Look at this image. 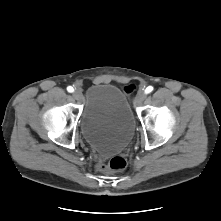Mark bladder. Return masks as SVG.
<instances>
[{
  "instance_id": "obj_1",
  "label": "bladder",
  "mask_w": 221,
  "mask_h": 221,
  "mask_svg": "<svg viewBox=\"0 0 221 221\" xmlns=\"http://www.w3.org/2000/svg\"><path fill=\"white\" fill-rule=\"evenodd\" d=\"M79 126L86 143L101 155L120 153L130 143L135 118L126 95L117 86L98 83L84 97Z\"/></svg>"
}]
</instances>
